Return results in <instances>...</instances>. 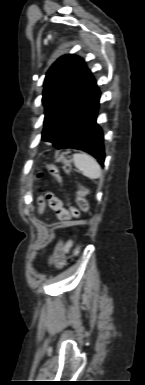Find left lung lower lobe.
Returning a JSON list of instances; mask_svg holds the SVG:
<instances>
[{
    "instance_id": "obj_1",
    "label": "left lung lower lobe",
    "mask_w": 145,
    "mask_h": 385,
    "mask_svg": "<svg viewBox=\"0 0 145 385\" xmlns=\"http://www.w3.org/2000/svg\"><path fill=\"white\" fill-rule=\"evenodd\" d=\"M99 98L100 92L93 79L86 93L62 120L49 142L57 149L76 148L86 151L103 166L102 131L96 124Z\"/></svg>"
}]
</instances>
